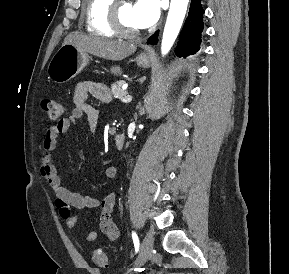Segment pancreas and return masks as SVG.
I'll list each match as a JSON object with an SVG mask.
<instances>
[{
  "label": "pancreas",
  "mask_w": 289,
  "mask_h": 274,
  "mask_svg": "<svg viewBox=\"0 0 289 274\" xmlns=\"http://www.w3.org/2000/svg\"><path fill=\"white\" fill-rule=\"evenodd\" d=\"M124 83L125 82L121 80L111 85V93L114 98H122L127 95V91L122 89Z\"/></svg>",
  "instance_id": "pancreas-1"
}]
</instances>
